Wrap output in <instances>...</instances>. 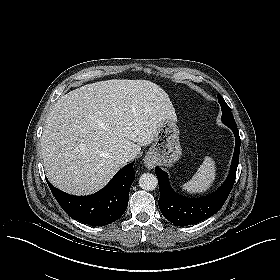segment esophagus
<instances>
[{
  "label": "esophagus",
  "instance_id": "34e87169",
  "mask_svg": "<svg viewBox=\"0 0 280 280\" xmlns=\"http://www.w3.org/2000/svg\"><path fill=\"white\" fill-rule=\"evenodd\" d=\"M144 165L148 169H153L156 165V158L151 153L146 154L144 157Z\"/></svg>",
  "mask_w": 280,
  "mask_h": 280
}]
</instances>
